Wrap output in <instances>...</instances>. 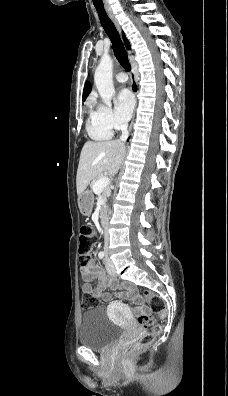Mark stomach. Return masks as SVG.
<instances>
[{
    "instance_id": "0dacf381",
    "label": "stomach",
    "mask_w": 228,
    "mask_h": 396,
    "mask_svg": "<svg viewBox=\"0 0 228 396\" xmlns=\"http://www.w3.org/2000/svg\"><path fill=\"white\" fill-rule=\"evenodd\" d=\"M94 196L90 190H84L78 197V206L84 216H89L92 212Z\"/></svg>"
}]
</instances>
